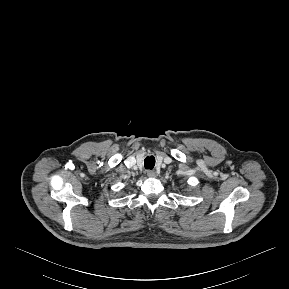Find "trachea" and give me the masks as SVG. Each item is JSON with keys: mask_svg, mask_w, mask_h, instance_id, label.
<instances>
[{"mask_svg": "<svg viewBox=\"0 0 289 289\" xmlns=\"http://www.w3.org/2000/svg\"><path fill=\"white\" fill-rule=\"evenodd\" d=\"M144 166L146 169L152 170L155 166L154 156H147L144 160Z\"/></svg>", "mask_w": 289, "mask_h": 289, "instance_id": "1", "label": "trachea"}]
</instances>
